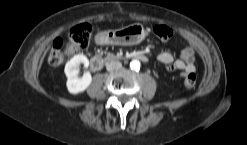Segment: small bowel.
I'll return each mask as SVG.
<instances>
[{"label":"small bowel","mask_w":247,"mask_h":145,"mask_svg":"<svg viewBox=\"0 0 247 145\" xmlns=\"http://www.w3.org/2000/svg\"><path fill=\"white\" fill-rule=\"evenodd\" d=\"M156 59L166 65L170 71L181 70L184 73L195 72V51L192 46L184 48L179 57H175L169 52H159Z\"/></svg>","instance_id":"1"}]
</instances>
